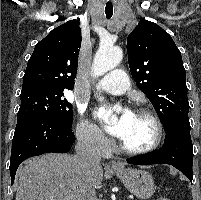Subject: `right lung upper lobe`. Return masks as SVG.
<instances>
[{
    "mask_svg": "<svg viewBox=\"0 0 201 200\" xmlns=\"http://www.w3.org/2000/svg\"><path fill=\"white\" fill-rule=\"evenodd\" d=\"M78 20H70L38 42L23 77L22 92L73 89L81 47Z\"/></svg>",
    "mask_w": 201,
    "mask_h": 200,
    "instance_id": "right-lung-upper-lobe-1",
    "label": "right lung upper lobe"
}]
</instances>
